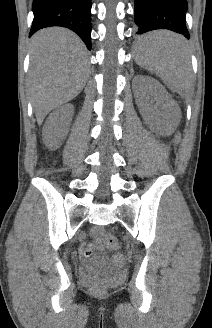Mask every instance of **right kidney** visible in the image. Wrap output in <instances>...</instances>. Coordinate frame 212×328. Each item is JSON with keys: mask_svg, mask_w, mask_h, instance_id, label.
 Instances as JSON below:
<instances>
[{"mask_svg": "<svg viewBox=\"0 0 212 328\" xmlns=\"http://www.w3.org/2000/svg\"><path fill=\"white\" fill-rule=\"evenodd\" d=\"M74 114V106L66 104L53 111L43 127V135L49 136L53 134L63 135L67 132L68 126Z\"/></svg>", "mask_w": 212, "mask_h": 328, "instance_id": "1", "label": "right kidney"}]
</instances>
